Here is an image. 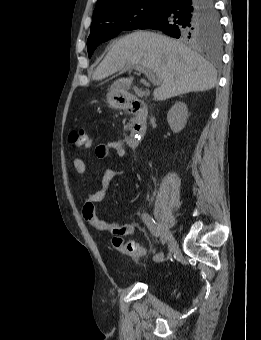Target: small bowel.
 <instances>
[{
  "mask_svg": "<svg viewBox=\"0 0 261 340\" xmlns=\"http://www.w3.org/2000/svg\"><path fill=\"white\" fill-rule=\"evenodd\" d=\"M96 140L97 138L95 136H88L82 146L89 150ZM111 151L119 158L126 155V148L121 140H106L105 142L98 144L95 148V155L99 159H106ZM72 163L76 172L82 177V189L86 195L85 202L81 208L84 219L98 231L111 233L119 237L133 235L136 232L135 226L123 224L120 221H104L97 216L96 212L95 204L106 197L109 186L118 172L110 167L105 168L101 180V188L95 192H89L84 180V175L86 173L85 161L81 158H74Z\"/></svg>",
  "mask_w": 261,
  "mask_h": 340,
  "instance_id": "c3829d8e",
  "label": "small bowel"
}]
</instances>
